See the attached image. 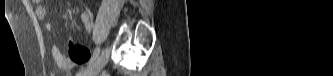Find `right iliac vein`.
Segmentation results:
<instances>
[{
	"instance_id": "1",
	"label": "right iliac vein",
	"mask_w": 333,
	"mask_h": 76,
	"mask_svg": "<svg viewBox=\"0 0 333 76\" xmlns=\"http://www.w3.org/2000/svg\"><path fill=\"white\" fill-rule=\"evenodd\" d=\"M109 49H105L92 67L85 70L82 76H95L108 62Z\"/></svg>"
}]
</instances>
